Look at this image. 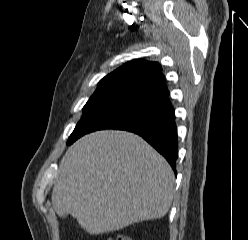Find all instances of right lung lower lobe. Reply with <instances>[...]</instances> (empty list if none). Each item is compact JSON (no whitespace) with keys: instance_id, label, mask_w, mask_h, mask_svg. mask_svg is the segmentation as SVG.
<instances>
[{"instance_id":"1","label":"right lung lower lobe","mask_w":248,"mask_h":240,"mask_svg":"<svg viewBox=\"0 0 248 240\" xmlns=\"http://www.w3.org/2000/svg\"><path fill=\"white\" fill-rule=\"evenodd\" d=\"M102 129L133 132L162 154L175 171L177 128L169 92L136 101L103 118L87 133Z\"/></svg>"}]
</instances>
